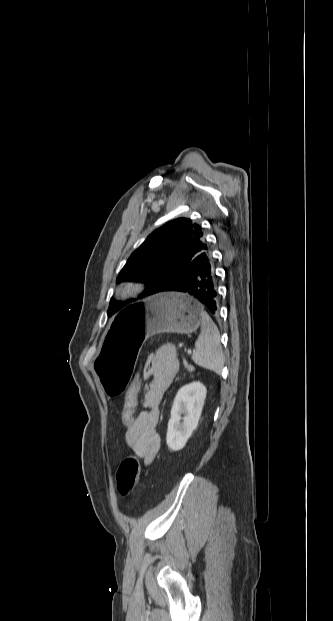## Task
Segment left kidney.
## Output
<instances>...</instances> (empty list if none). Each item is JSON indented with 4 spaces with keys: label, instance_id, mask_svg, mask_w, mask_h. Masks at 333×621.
Returning <instances> with one entry per match:
<instances>
[{
    "label": "left kidney",
    "instance_id": "left-kidney-1",
    "mask_svg": "<svg viewBox=\"0 0 333 621\" xmlns=\"http://www.w3.org/2000/svg\"><path fill=\"white\" fill-rule=\"evenodd\" d=\"M206 394L207 389L200 382L187 384L177 392L166 437L167 445L173 451L181 450L197 428Z\"/></svg>",
    "mask_w": 333,
    "mask_h": 621
}]
</instances>
